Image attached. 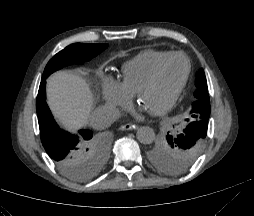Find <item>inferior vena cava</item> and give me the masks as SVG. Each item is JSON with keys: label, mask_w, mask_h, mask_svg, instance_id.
Returning <instances> with one entry per match:
<instances>
[{"label": "inferior vena cava", "mask_w": 254, "mask_h": 216, "mask_svg": "<svg viewBox=\"0 0 254 216\" xmlns=\"http://www.w3.org/2000/svg\"><path fill=\"white\" fill-rule=\"evenodd\" d=\"M120 117V112L112 106L97 107L89 116L90 125L97 130L106 129Z\"/></svg>", "instance_id": "602c4592"}]
</instances>
